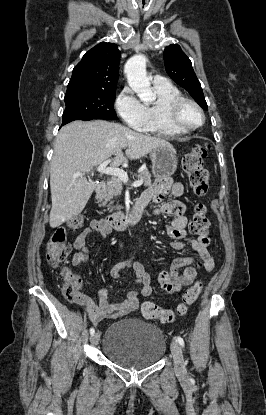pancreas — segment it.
I'll use <instances>...</instances> for the list:
<instances>
[{
	"instance_id": "1",
	"label": "pancreas",
	"mask_w": 266,
	"mask_h": 415,
	"mask_svg": "<svg viewBox=\"0 0 266 415\" xmlns=\"http://www.w3.org/2000/svg\"><path fill=\"white\" fill-rule=\"evenodd\" d=\"M135 176L138 179L143 180L145 186H150L152 184L151 174L149 173L148 169H144L138 172V174H135ZM122 189H123L122 181L118 177L113 176L107 182L106 187L100 192V194L97 195L96 198L98 201L102 202L101 206L107 205L108 210L111 211L115 209L117 211H120L122 206L116 205L114 207L112 206V203L115 198H118L121 195Z\"/></svg>"
}]
</instances>
